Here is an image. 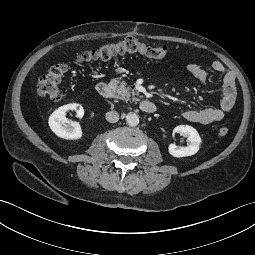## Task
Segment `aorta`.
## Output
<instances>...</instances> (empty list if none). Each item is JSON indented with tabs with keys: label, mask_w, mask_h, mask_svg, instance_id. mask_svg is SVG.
Returning a JSON list of instances; mask_svg holds the SVG:
<instances>
[{
	"label": "aorta",
	"mask_w": 255,
	"mask_h": 255,
	"mask_svg": "<svg viewBox=\"0 0 255 255\" xmlns=\"http://www.w3.org/2000/svg\"><path fill=\"white\" fill-rule=\"evenodd\" d=\"M126 122L129 126H137L139 124V116L135 113H129L126 116Z\"/></svg>",
	"instance_id": "762f6f07"
}]
</instances>
